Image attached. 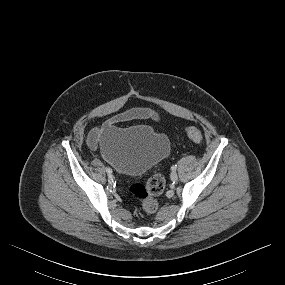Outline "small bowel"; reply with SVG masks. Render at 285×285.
Here are the masks:
<instances>
[{"label":"small bowel","mask_w":285,"mask_h":285,"mask_svg":"<svg viewBox=\"0 0 285 285\" xmlns=\"http://www.w3.org/2000/svg\"><path fill=\"white\" fill-rule=\"evenodd\" d=\"M131 119H150L154 121H160V116L157 112L149 108H136L113 116L109 120V124L131 120ZM99 137H100L99 129H94L93 131H91V133L88 136V145L91 148L95 149L98 145Z\"/></svg>","instance_id":"1"}]
</instances>
